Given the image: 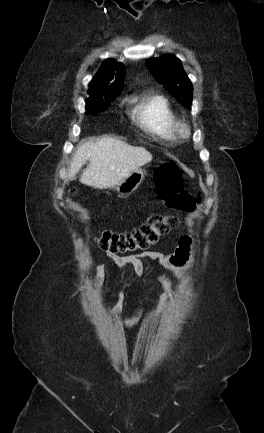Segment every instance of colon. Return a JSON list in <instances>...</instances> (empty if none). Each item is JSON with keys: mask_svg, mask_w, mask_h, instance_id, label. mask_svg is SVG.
<instances>
[{"mask_svg": "<svg viewBox=\"0 0 264 433\" xmlns=\"http://www.w3.org/2000/svg\"><path fill=\"white\" fill-rule=\"evenodd\" d=\"M154 182L157 195L169 207L187 211L193 209L195 201L184 189L183 176L176 164L160 166ZM177 222L172 215H154L132 232L102 231L98 243L103 250L114 255L143 251L157 244Z\"/></svg>", "mask_w": 264, "mask_h": 433, "instance_id": "colon-1", "label": "colon"}]
</instances>
